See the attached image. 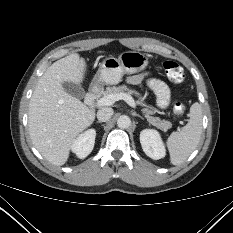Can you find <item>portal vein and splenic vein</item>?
Wrapping results in <instances>:
<instances>
[{"mask_svg": "<svg viewBox=\"0 0 233 233\" xmlns=\"http://www.w3.org/2000/svg\"><path fill=\"white\" fill-rule=\"evenodd\" d=\"M118 100H124L128 105H130L133 108L136 106L134 99L126 93L106 95L97 100V106H110Z\"/></svg>", "mask_w": 233, "mask_h": 233, "instance_id": "portal-vein-and-splenic-vein-1", "label": "portal vein and splenic vein"}]
</instances>
